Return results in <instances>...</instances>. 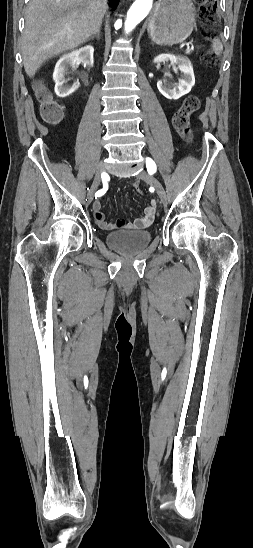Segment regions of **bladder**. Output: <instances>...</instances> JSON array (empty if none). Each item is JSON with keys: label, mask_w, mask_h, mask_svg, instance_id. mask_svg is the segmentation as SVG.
<instances>
[{"label": "bladder", "mask_w": 253, "mask_h": 548, "mask_svg": "<svg viewBox=\"0 0 253 548\" xmlns=\"http://www.w3.org/2000/svg\"><path fill=\"white\" fill-rule=\"evenodd\" d=\"M152 234L149 230H120L106 235L107 244L124 254H136L150 243Z\"/></svg>", "instance_id": "obj_1"}]
</instances>
